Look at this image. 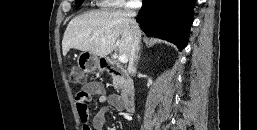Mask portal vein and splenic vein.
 I'll list each match as a JSON object with an SVG mask.
<instances>
[{"label":"portal vein and splenic vein","instance_id":"1","mask_svg":"<svg viewBox=\"0 0 257 130\" xmlns=\"http://www.w3.org/2000/svg\"><path fill=\"white\" fill-rule=\"evenodd\" d=\"M118 60L121 63H127L128 62V58L125 55H119Z\"/></svg>","mask_w":257,"mask_h":130}]
</instances>
